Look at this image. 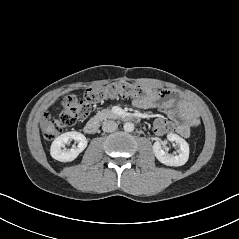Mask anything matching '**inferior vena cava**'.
Segmentation results:
<instances>
[{"mask_svg":"<svg viewBox=\"0 0 239 239\" xmlns=\"http://www.w3.org/2000/svg\"><path fill=\"white\" fill-rule=\"evenodd\" d=\"M117 128H118V125L113 120L105 121L102 125V130L104 132H113V131L117 130Z\"/></svg>","mask_w":239,"mask_h":239,"instance_id":"inferior-vena-cava-1","label":"inferior vena cava"}]
</instances>
